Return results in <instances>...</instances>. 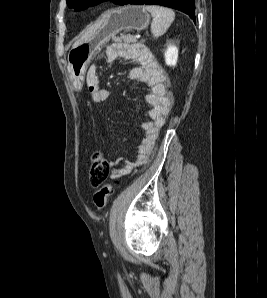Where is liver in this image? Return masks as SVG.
Here are the masks:
<instances>
[{
	"mask_svg": "<svg viewBox=\"0 0 267 298\" xmlns=\"http://www.w3.org/2000/svg\"><path fill=\"white\" fill-rule=\"evenodd\" d=\"M103 20L98 21L93 26L87 29V31L79 38L74 44L73 47H76L77 45H80L81 43L88 41L90 37L99 29V27L102 25Z\"/></svg>",
	"mask_w": 267,
	"mask_h": 298,
	"instance_id": "1",
	"label": "liver"
}]
</instances>
